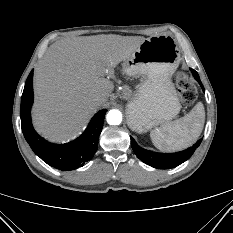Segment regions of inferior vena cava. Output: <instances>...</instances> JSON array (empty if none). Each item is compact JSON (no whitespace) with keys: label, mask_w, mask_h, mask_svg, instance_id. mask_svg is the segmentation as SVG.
Wrapping results in <instances>:
<instances>
[{"label":"inferior vena cava","mask_w":233,"mask_h":233,"mask_svg":"<svg viewBox=\"0 0 233 233\" xmlns=\"http://www.w3.org/2000/svg\"><path fill=\"white\" fill-rule=\"evenodd\" d=\"M100 99H102V96H101V95H98V96L96 97V100H100Z\"/></svg>","instance_id":"1"}]
</instances>
